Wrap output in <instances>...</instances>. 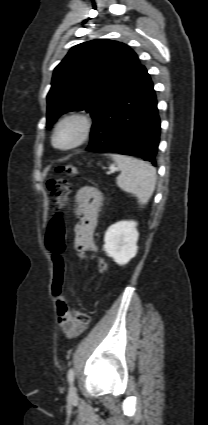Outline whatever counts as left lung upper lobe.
Here are the masks:
<instances>
[{
	"label": "left lung upper lobe",
	"instance_id": "left-lung-upper-lobe-1",
	"mask_svg": "<svg viewBox=\"0 0 208 425\" xmlns=\"http://www.w3.org/2000/svg\"><path fill=\"white\" fill-rule=\"evenodd\" d=\"M142 67L136 53L117 41L95 39L72 47L54 69L47 125L73 110H86L95 121Z\"/></svg>",
	"mask_w": 208,
	"mask_h": 425
}]
</instances>
